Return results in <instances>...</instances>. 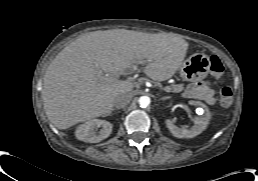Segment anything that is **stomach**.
I'll return each mask as SVG.
<instances>
[{
  "instance_id": "obj_1",
  "label": "stomach",
  "mask_w": 258,
  "mask_h": 181,
  "mask_svg": "<svg viewBox=\"0 0 258 181\" xmlns=\"http://www.w3.org/2000/svg\"><path fill=\"white\" fill-rule=\"evenodd\" d=\"M210 59L203 53L192 54L182 62L179 68L180 77L185 81H195L207 76L210 69Z\"/></svg>"
}]
</instances>
